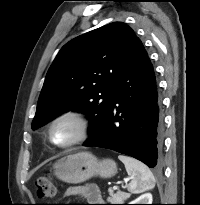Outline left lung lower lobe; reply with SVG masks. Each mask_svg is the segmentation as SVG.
I'll list each match as a JSON object with an SVG mask.
<instances>
[{
    "label": "left lung lower lobe",
    "mask_w": 200,
    "mask_h": 205,
    "mask_svg": "<svg viewBox=\"0 0 200 205\" xmlns=\"http://www.w3.org/2000/svg\"><path fill=\"white\" fill-rule=\"evenodd\" d=\"M162 129L153 66L137 38L114 83L105 122L97 137L83 146L111 149L154 168L161 164Z\"/></svg>",
    "instance_id": "left-lung-lower-lobe-1"
}]
</instances>
